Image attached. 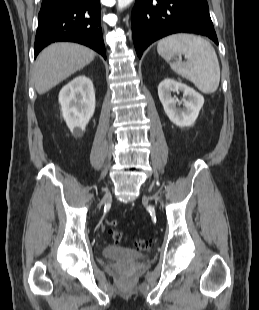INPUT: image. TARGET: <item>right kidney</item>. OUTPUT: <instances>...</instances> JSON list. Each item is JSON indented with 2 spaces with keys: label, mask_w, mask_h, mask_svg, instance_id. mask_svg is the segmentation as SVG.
<instances>
[{
  "label": "right kidney",
  "mask_w": 259,
  "mask_h": 310,
  "mask_svg": "<svg viewBox=\"0 0 259 310\" xmlns=\"http://www.w3.org/2000/svg\"><path fill=\"white\" fill-rule=\"evenodd\" d=\"M62 116L70 131L80 136L95 111L93 82L85 75L75 77L59 93Z\"/></svg>",
  "instance_id": "ca27d5eb"
}]
</instances>
